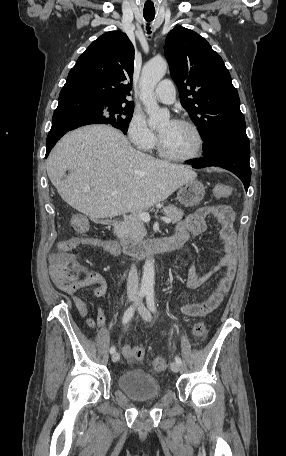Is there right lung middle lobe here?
I'll list each match as a JSON object with an SVG mask.
<instances>
[{"label": "right lung middle lobe", "instance_id": "dd1d6c3e", "mask_svg": "<svg viewBox=\"0 0 286 456\" xmlns=\"http://www.w3.org/2000/svg\"><path fill=\"white\" fill-rule=\"evenodd\" d=\"M81 107V123L109 124L126 134L131 121L134 103L114 102L97 96Z\"/></svg>", "mask_w": 286, "mask_h": 456}]
</instances>
